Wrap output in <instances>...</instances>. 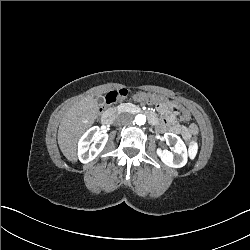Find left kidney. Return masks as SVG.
<instances>
[{
    "label": "left kidney",
    "instance_id": "obj_1",
    "mask_svg": "<svg viewBox=\"0 0 250 250\" xmlns=\"http://www.w3.org/2000/svg\"><path fill=\"white\" fill-rule=\"evenodd\" d=\"M163 139L173 144L172 151L163 149L161 152V160L168 166L180 168L186 165L188 160L187 148L183 140L174 133H165Z\"/></svg>",
    "mask_w": 250,
    "mask_h": 250
}]
</instances>
